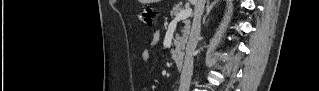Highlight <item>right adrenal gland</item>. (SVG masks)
<instances>
[{
  "mask_svg": "<svg viewBox=\"0 0 319 91\" xmlns=\"http://www.w3.org/2000/svg\"><path fill=\"white\" fill-rule=\"evenodd\" d=\"M216 1H213L212 3H210V0H207V5H206V14L203 17V23H205V20L210 12V10L212 9V7L215 5Z\"/></svg>",
  "mask_w": 319,
  "mask_h": 91,
  "instance_id": "1",
  "label": "right adrenal gland"
}]
</instances>
